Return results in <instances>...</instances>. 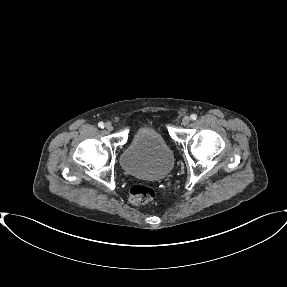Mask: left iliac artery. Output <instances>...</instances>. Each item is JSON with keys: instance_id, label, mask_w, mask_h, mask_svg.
<instances>
[{"instance_id": "1", "label": "left iliac artery", "mask_w": 287, "mask_h": 287, "mask_svg": "<svg viewBox=\"0 0 287 287\" xmlns=\"http://www.w3.org/2000/svg\"><path fill=\"white\" fill-rule=\"evenodd\" d=\"M190 118H191V120H196V119H197V115H196V114H192V115L190 116Z\"/></svg>"}]
</instances>
